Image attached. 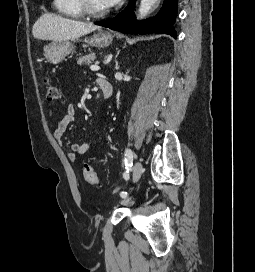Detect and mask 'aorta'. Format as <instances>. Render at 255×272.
I'll use <instances>...</instances> for the list:
<instances>
[{
	"mask_svg": "<svg viewBox=\"0 0 255 272\" xmlns=\"http://www.w3.org/2000/svg\"><path fill=\"white\" fill-rule=\"evenodd\" d=\"M158 1L159 0H141L138 10V18L142 19L146 17Z\"/></svg>",
	"mask_w": 255,
	"mask_h": 272,
	"instance_id": "762f6f07",
	"label": "aorta"
}]
</instances>
